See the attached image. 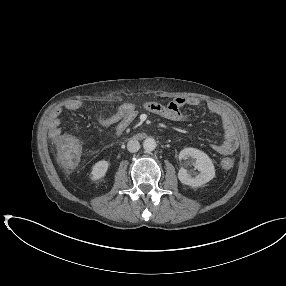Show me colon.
<instances>
[{"instance_id": "1", "label": "colon", "mask_w": 286, "mask_h": 286, "mask_svg": "<svg viewBox=\"0 0 286 286\" xmlns=\"http://www.w3.org/2000/svg\"><path fill=\"white\" fill-rule=\"evenodd\" d=\"M54 142L60 163L66 168H73L80 159V143L75 138L67 135L54 137ZM233 163V159L226 158L222 161V166L224 169H230Z\"/></svg>"}]
</instances>
